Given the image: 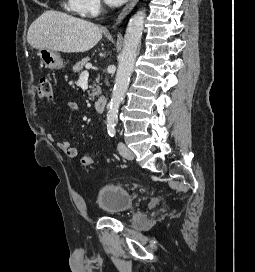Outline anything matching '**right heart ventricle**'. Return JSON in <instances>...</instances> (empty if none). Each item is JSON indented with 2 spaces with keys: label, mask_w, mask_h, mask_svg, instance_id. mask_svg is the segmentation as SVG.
<instances>
[{
  "label": "right heart ventricle",
  "mask_w": 255,
  "mask_h": 272,
  "mask_svg": "<svg viewBox=\"0 0 255 272\" xmlns=\"http://www.w3.org/2000/svg\"><path fill=\"white\" fill-rule=\"evenodd\" d=\"M64 4H65L66 9H68L69 11L77 12L75 10V0H65Z\"/></svg>",
  "instance_id": "right-heart-ventricle-1"
}]
</instances>
